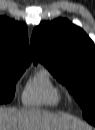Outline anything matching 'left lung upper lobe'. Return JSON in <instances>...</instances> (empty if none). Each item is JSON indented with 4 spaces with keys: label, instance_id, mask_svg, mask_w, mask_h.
Segmentation results:
<instances>
[{
    "label": "left lung upper lobe",
    "instance_id": "5c2ea615",
    "mask_svg": "<svg viewBox=\"0 0 95 130\" xmlns=\"http://www.w3.org/2000/svg\"><path fill=\"white\" fill-rule=\"evenodd\" d=\"M33 62L49 71L74 95L83 117L95 122V51L86 33L66 19L42 22L31 38Z\"/></svg>",
    "mask_w": 95,
    "mask_h": 130
}]
</instances>
